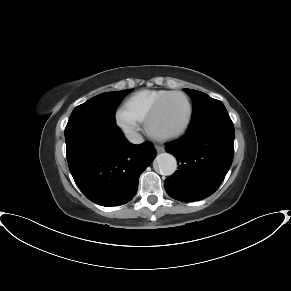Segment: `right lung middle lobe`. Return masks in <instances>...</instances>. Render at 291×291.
Instances as JSON below:
<instances>
[{
    "mask_svg": "<svg viewBox=\"0 0 291 291\" xmlns=\"http://www.w3.org/2000/svg\"><path fill=\"white\" fill-rule=\"evenodd\" d=\"M131 91L132 89H127L99 94L75 107L69 120L75 118H90L115 122V111L119 102Z\"/></svg>",
    "mask_w": 291,
    "mask_h": 291,
    "instance_id": "obj_1",
    "label": "right lung middle lobe"
}]
</instances>
